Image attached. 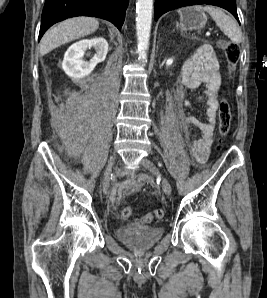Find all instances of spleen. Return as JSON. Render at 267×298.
I'll return each mask as SVG.
<instances>
[{"label":"spleen","mask_w":267,"mask_h":298,"mask_svg":"<svg viewBox=\"0 0 267 298\" xmlns=\"http://www.w3.org/2000/svg\"><path fill=\"white\" fill-rule=\"evenodd\" d=\"M199 10H204L212 17L220 30L235 44L242 41V33L236 22L222 9L213 6H195Z\"/></svg>","instance_id":"obj_1"}]
</instances>
